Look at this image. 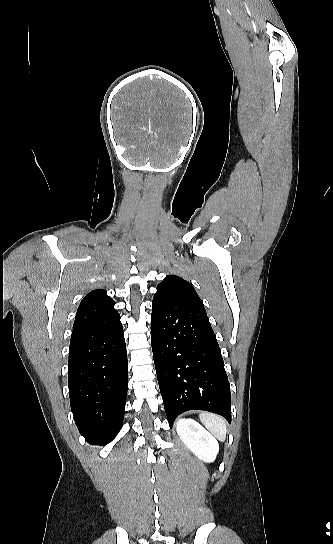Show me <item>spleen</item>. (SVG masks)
Segmentation results:
<instances>
[{
    "mask_svg": "<svg viewBox=\"0 0 333 544\" xmlns=\"http://www.w3.org/2000/svg\"><path fill=\"white\" fill-rule=\"evenodd\" d=\"M203 425L220 441H224L227 434L225 420L215 414L202 412L199 416Z\"/></svg>",
    "mask_w": 333,
    "mask_h": 544,
    "instance_id": "3e777b00",
    "label": "spleen"
}]
</instances>
